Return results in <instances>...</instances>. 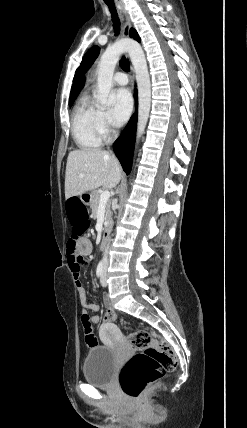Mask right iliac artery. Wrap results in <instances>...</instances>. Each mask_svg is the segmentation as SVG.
Segmentation results:
<instances>
[{
	"label": "right iliac artery",
	"mask_w": 247,
	"mask_h": 428,
	"mask_svg": "<svg viewBox=\"0 0 247 428\" xmlns=\"http://www.w3.org/2000/svg\"><path fill=\"white\" fill-rule=\"evenodd\" d=\"M103 268H104L103 267V262L100 261L99 264H98V266H97V269H96V274H97L98 277H101V275L103 273Z\"/></svg>",
	"instance_id": "82829eb1"
}]
</instances>
